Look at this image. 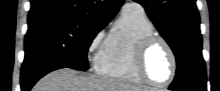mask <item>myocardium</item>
<instances>
[{"mask_svg": "<svg viewBox=\"0 0 220 91\" xmlns=\"http://www.w3.org/2000/svg\"><path fill=\"white\" fill-rule=\"evenodd\" d=\"M156 44H162L167 49L171 58V73L165 82H156L152 80L146 71L145 64L147 55L151 48ZM134 65L135 70L143 83L154 87H167L173 82L177 74V58L172 46L167 40L157 35L148 36L138 44L134 56Z\"/></svg>", "mask_w": 220, "mask_h": 91, "instance_id": "f54148a6", "label": "myocardium"}]
</instances>
